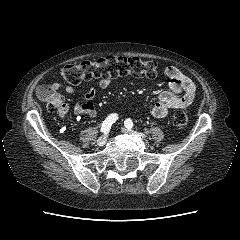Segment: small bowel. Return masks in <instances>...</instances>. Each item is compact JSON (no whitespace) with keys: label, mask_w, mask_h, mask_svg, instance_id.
I'll return each mask as SVG.
<instances>
[{"label":"small bowel","mask_w":240,"mask_h":240,"mask_svg":"<svg viewBox=\"0 0 240 240\" xmlns=\"http://www.w3.org/2000/svg\"><path fill=\"white\" fill-rule=\"evenodd\" d=\"M165 75L169 79V90L163 91L158 101L152 108V115L156 118H164L172 109H183L191 105L196 96V87L192 80L184 75L178 68L168 66L165 69ZM113 80L111 78H103L97 83L99 89H107L111 86ZM56 90L64 89L68 94H74L75 89L72 86H64L59 83L52 85ZM97 89L90 86L87 92L82 97L81 101L75 104L71 109L67 103H62L58 113L60 116H66L71 110L75 116H89L96 115L94 99L96 97Z\"/></svg>","instance_id":"obj_1"}]
</instances>
